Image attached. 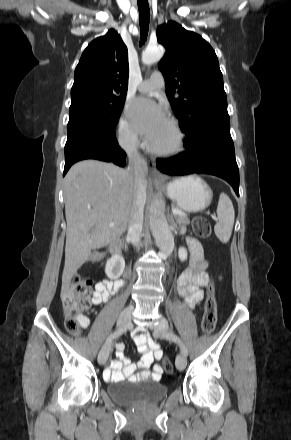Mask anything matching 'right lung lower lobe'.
I'll return each instance as SVG.
<instances>
[{"label": "right lung lower lobe", "instance_id": "right-lung-lower-lobe-1", "mask_svg": "<svg viewBox=\"0 0 291 440\" xmlns=\"http://www.w3.org/2000/svg\"><path fill=\"white\" fill-rule=\"evenodd\" d=\"M84 159L112 162L123 167L126 153L118 146L115 134L103 135L88 131L68 133L63 176L75 162Z\"/></svg>", "mask_w": 291, "mask_h": 440}]
</instances>
